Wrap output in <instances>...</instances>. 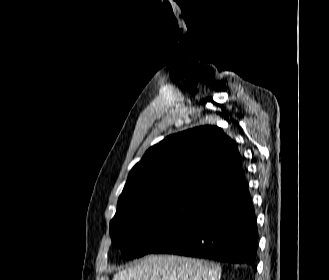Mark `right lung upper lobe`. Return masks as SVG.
<instances>
[{"mask_svg":"<svg viewBox=\"0 0 329 280\" xmlns=\"http://www.w3.org/2000/svg\"><path fill=\"white\" fill-rule=\"evenodd\" d=\"M241 169L237 146L221 128L196 127L152 146L130 171L118 204L177 195L203 197Z\"/></svg>","mask_w":329,"mask_h":280,"instance_id":"right-lung-upper-lobe-1","label":"right lung upper lobe"}]
</instances>
